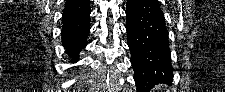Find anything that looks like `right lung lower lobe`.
Instances as JSON below:
<instances>
[{"label": "right lung lower lobe", "mask_w": 225, "mask_h": 92, "mask_svg": "<svg viewBox=\"0 0 225 92\" xmlns=\"http://www.w3.org/2000/svg\"><path fill=\"white\" fill-rule=\"evenodd\" d=\"M90 12L77 19L63 21L62 44L67 54L74 59L73 62L78 60L79 52L87 45V37L90 32Z\"/></svg>", "instance_id": "right-lung-lower-lobe-1"}]
</instances>
